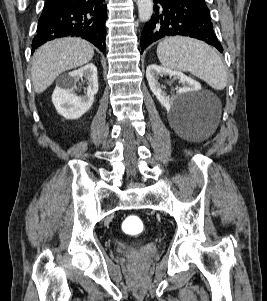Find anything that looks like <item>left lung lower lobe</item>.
Wrapping results in <instances>:
<instances>
[{"mask_svg": "<svg viewBox=\"0 0 267 301\" xmlns=\"http://www.w3.org/2000/svg\"><path fill=\"white\" fill-rule=\"evenodd\" d=\"M154 14L144 26L141 54L144 49L165 36H189L223 48L214 34L210 12L202 0H154Z\"/></svg>", "mask_w": 267, "mask_h": 301, "instance_id": "1", "label": "left lung lower lobe"}]
</instances>
